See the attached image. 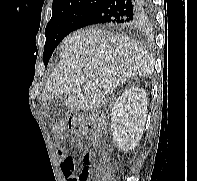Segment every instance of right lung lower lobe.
Segmentation results:
<instances>
[{
  "instance_id": "obj_1",
  "label": "right lung lower lobe",
  "mask_w": 197,
  "mask_h": 181,
  "mask_svg": "<svg viewBox=\"0 0 197 181\" xmlns=\"http://www.w3.org/2000/svg\"><path fill=\"white\" fill-rule=\"evenodd\" d=\"M151 15V0H104L89 11L76 29L102 24L127 29L142 27Z\"/></svg>"
}]
</instances>
